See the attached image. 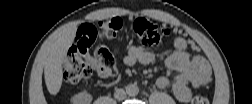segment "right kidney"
I'll return each mask as SVG.
<instances>
[{"label": "right kidney", "mask_w": 252, "mask_h": 104, "mask_svg": "<svg viewBox=\"0 0 252 104\" xmlns=\"http://www.w3.org/2000/svg\"><path fill=\"white\" fill-rule=\"evenodd\" d=\"M75 104H89L92 101V96L87 92H80L73 97Z\"/></svg>", "instance_id": "right-kidney-1"}]
</instances>
